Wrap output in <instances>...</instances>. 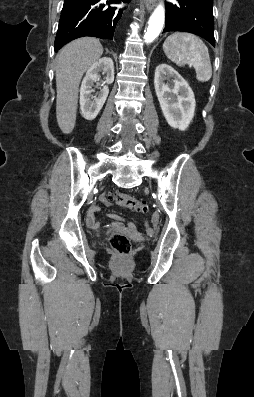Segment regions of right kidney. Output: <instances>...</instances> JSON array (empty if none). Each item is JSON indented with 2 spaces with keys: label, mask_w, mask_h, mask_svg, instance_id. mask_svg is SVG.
Returning a JSON list of instances; mask_svg holds the SVG:
<instances>
[{
  "label": "right kidney",
  "mask_w": 254,
  "mask_h": 397,
  "mask_svg": "<svg viewBox=\"0 0 254 397\" xmlns=\"http://www.w3.org/2000/svg\"><path fill=\"white\" fill-rule=\"evenodd\" d=\"M106 75L103 87L100 92L92 96L94 83L100 79L99 73ZM114 81V63L109 57H103L96 61L86 72L80 88V107L81 114L87 120L96 118L103 107L108 93V84Z\"/></svg>",
  "instance_id": "right-kidney-1"
}]
</instances>
